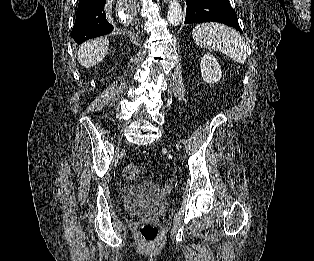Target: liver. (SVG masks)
Here are the masks:
<instances>
[{
	"mask_svg": "<svg viewBox=\"0 0 314 261\" xmlns=\"http://www.w3.org/2000/svg\"><path fill=\"white\" fill-rule=\"evenodd\" d=\"M109 41L107 38H97L83 43L78 51V62L90 68L101 62L108 54Z\"/></svg>",
	"mask_w": 314,
	"mask_h": 261,
	"instance_id": "6515ba94",
	"label": "liver"
}]
</instances>
